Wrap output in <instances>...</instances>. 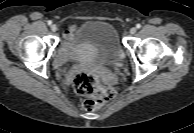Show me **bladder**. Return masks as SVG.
Returning <instances> with one entry per match:
<instances>
[{
    "instance_id": "bladder-1",
    "label": "bladder",
    "mask_w": 194,
    "mask_h": 133,
    "mask_svg": "<svg viewBox=\"0 0 194 133\" xmlns=\"http://www.w3.org/2000/svg\"><path fill=\"white\" fill-rule=\"evenodd\" d=\"M66 49L75 59H90L103 64L123 60V49L112 24L104 20H88L70 36Z\"/></svg>"
}]
</instances>
